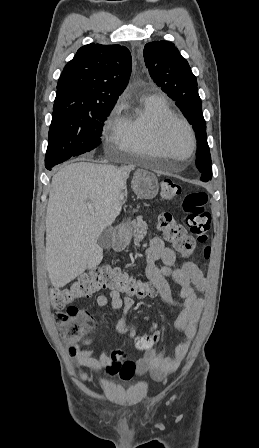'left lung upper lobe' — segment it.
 Here are the masks:
<instances>
[{
    "instance_id": "obj_1",
    "label": "left lung upper lobe",
    "mask_w": 259,
    "mask_h": 448,
    "mask_svg": "<svg viewBox=\"0 0 259 448\" xmlns=\"http://www.w3.org/2000/svg\"><path fill=\"white\" fill-rule=\"evenodd\" d=\"M143 54L153 81L175 101L193 126L197 138V168L208 170L209 167L200 165L201 163H211V155L197 80L188 62L181 56L175 45L168 41L147 43Z\"/></svg>"
}]
</instances>
